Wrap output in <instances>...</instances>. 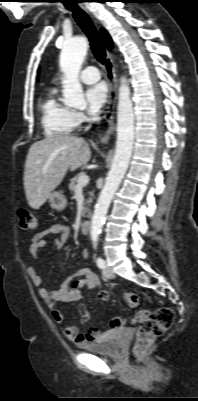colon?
Segmentation results:
<instances>
[{
	"label": "colon",
	"instance_id": "obj_1",
	"mask_svg": "<svg viewBox=\"0 0 198 401\" xmlns=\"http://www.w3.org/2000/svg\"><path fill=\"white\" fill-rule=\"evenodd\" d=\"M19 225L24 231H34L38 227L36 216L28 210L18 212ZM125 302L131 308L138 307L140 303L139 295L127 292L124 295ZM82 319H86V312L80 310ZM136 320L140 323L133 346V355L137 361H141L150 351L153 342L158 339L174 322V312L169 307H160L154 311L141 309L136 314ZM126 321L122 317H114L107 321V325L112 329L122 328Z\"/></svg>",
	"mask_w": 198,
	"mask_h": 401
}]
</instances>
